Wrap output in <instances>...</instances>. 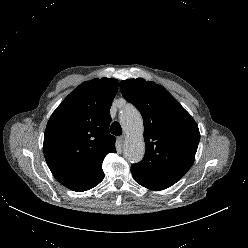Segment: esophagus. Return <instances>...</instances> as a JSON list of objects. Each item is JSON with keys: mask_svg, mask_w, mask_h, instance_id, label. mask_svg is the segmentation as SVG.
I'll return each instance as SVG.
<instances>
[{"mask_svg": "<svg viewBox=\"0 0 248 248\" xmlns=\"http://www.w3.org/2000/svg\"><path fill=\"white\" fill-rule=\"evenodd\" d=\"M125 140H126V137L125 136H120V137H118V141H119V143L121 144V145H123L124 144V142H125Z\"/></svg>", "mask_w": 248, "mask_h": 248, "instance_id": "esophagus-1", "label": "esophagus"}]
</instances>
